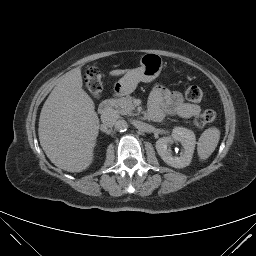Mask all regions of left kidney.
<instances>
[{"label":"left kidney","mask_w":256,"mask_h":256,"mask_svg":"<svg viewBox=\"0 0 256 256\" xmlns=\"http://www.w3.org/2000/svg\"><path fill=\"white\" fill-rule=\"evenodd\" d=\"M172 141H178L183 146V154L173 157L168 150V145ZM196 144L195 134L186 128L176 127L170 137H162L156 141V150L161 159L174 168H184L191 162Z\"/></svg>","instance_id":"1"}]
</instances>
